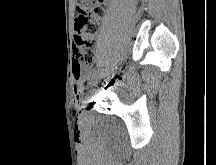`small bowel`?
Segmentation results:
<instances>
[{
	"mask_svg": "<svg viewBox=\"0 0 216 165\" xmlns=\"http://www.w3.org/2000/svg\"><path fill=\"white\" fill-rule=\"evenodd\" d=\"M72 73H73V77L76 81L75 94L79 95L81 93L80 81H81V79L85 73V69L76 60L73 61Z\"/></svg>",
	"mask_w": 216,
	"mask_h": 165,
	"instance_id": "obj_1",
	"label": "small bowel"
}]
</instances>
